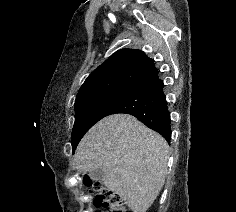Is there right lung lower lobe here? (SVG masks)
Instances as JSON below:
<instances>
[{
	"label": "right lung lower lobe",
	"instance_id": "1",
	"mask_svg": "<svg viewBox=\"0 0 236 212\" xmlns=\"http://www.w3.org/2000/svg\"><path fill=\"white\" fill-rule=\"evenodd\" d=\"M163 87L158 70H155L135 85L129 96L112 114L125 113L135 116L148 128L161 134L169 143L171 119Z\"/></svg>",
	"mask_w": 236,
	"mask_h": 212
}]
</instances>
